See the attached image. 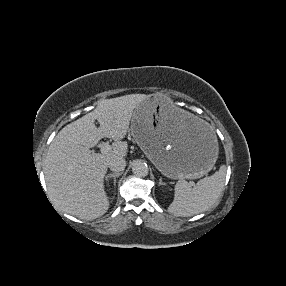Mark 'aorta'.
<instances>
[{"mask_svg":"<svg viewBox=\"0 0 286 286\" xmlns=\"http://www.w3.org/2000/svg\"><path fill=\"white\" fill-rule=\"evenodd\" d=\"M132 172L138 177H145L149 173L148 166L141 160H135L132 163Z\"/></svg>","mask_w":286,"mask_h":286,"instance_id":"aorta-1","label":"aorta"}]
</instances>
